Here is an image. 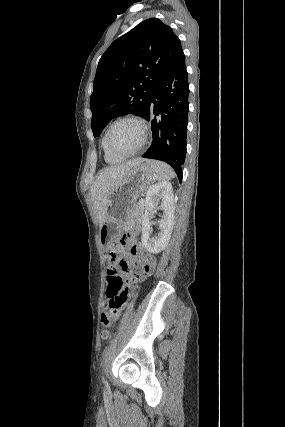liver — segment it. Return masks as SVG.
Here are the masks:
<instances>
[{
	"instance_id": "liver-1",
	"label": "liver",
	"mask_w": 285,
	"mask_h": 427,
	"mask_svg": "<svg viewBox=\"0 0 285 427\" xmlns=\"http://www.w3.org/2000/svg\"><path fill=\"white\" fill-rule=\"evenodd\" d=\"M143 159L129 160L123 164L107 167L101 170L91 187V198L98 215L99 226L105 221L108 197L129 174L131 169L142 163Z\"/></svg>"
}]
</instances>
